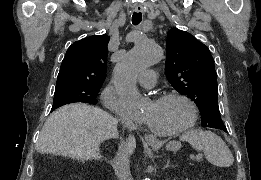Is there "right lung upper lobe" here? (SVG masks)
<instances>
[{
	"label": "right lung upper lobe",
	"instance_id": "cb5924a9",
	"mask_svg": "<svg viewBox=\"0 0 261 180\" xmlns=\"http://www.w3.org/2000/svg\"><path fill=\"white\" fill-rule=\"evenodd\" d=\"M109 40L110 37L104 34L74 42L62 61L56 86L102 85L106 78Z\"/></svg>",
	"mask_w": 261,
	"mask_h": 180
}]
</instances>
